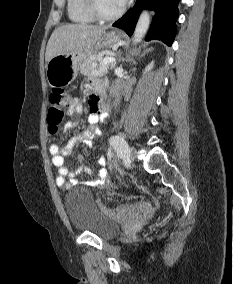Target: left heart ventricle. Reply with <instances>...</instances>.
Returning <instances> with one entry per match:
<instances>
[{
    "label": "left heart ventricle",
    "mask_w": 233,
    "mask_h": 284,
    "mask_svg": "<svg viewBox=\"0 0 233 284\" xmlns=\"http://www.w3.org/2000/svg\"><path fill=\"white\" fill-rule=\"evenodd\" d=\"M101 9L106 13H112L118 10L121 6L116 0H99Z\"/></svg>",
    "instance_id": "1"
}]
</instances>
